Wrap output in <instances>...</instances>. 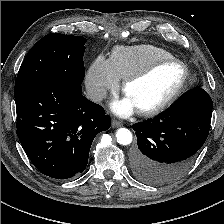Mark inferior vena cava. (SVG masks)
<instances>
[{"instance_id": "602c4592", "label": "inferior vena cava", "mask_w": 224, "mask_h": 224, "mask_svg": "<svg viewBox=\"0 0 224 224\" xmlns=\"http://www.w3.org/2000/svg\"><path fill=\"white\" fill-rule=\"evenodd\" d=\"M106 90L100 87H90L87 89V97L93 102H99L106 97Z\"/></svg>"}]
</instances>
